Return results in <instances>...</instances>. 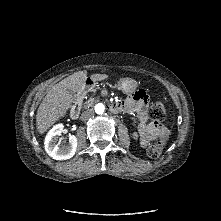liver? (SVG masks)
Wrapping results in <instances>:
<instances>
[{"mask_svg":"<svg viewBox=\"0 0 221 221\" xmlns=\"http://www.w3.org/2000/svg\"><path fill=\"white\" fill-rule=\"evenodd\" d=\"M108 78L107 74H93L94 82ZM87 71L75 72L55 84L42 100L36 115V127L40 134H44L60 118L67 114L76 94L84 92Z\"/></svg>","mask_w":221,"mask_h":221,"instance_id":"obj_1","label":"liver"}]
</instances>
